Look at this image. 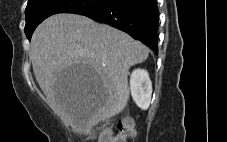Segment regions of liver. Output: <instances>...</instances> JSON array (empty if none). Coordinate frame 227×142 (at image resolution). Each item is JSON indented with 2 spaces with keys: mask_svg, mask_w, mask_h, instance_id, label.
Returning <instances> with one entry per match:
<instances>
[{
  "mask_svg": "<svg viewBox=\"0 0 227 142\" xmlns=\"http://www.w3.org/2000/svg\"><path fill=\"white\" fill-rule=\"evenodd\" d=\"M30 53L34 75L51 108L75 130L85 131L124 110L129 69L144 62L149 49L85 16L56 14L36 28ZM68 61L92 65L99 73V78H92V88H63V81H55L58 68Z\"/></svg>",
  "mask_w": 227,
  "mask_h": 142,
  "instance_id": "1",
  "label": "liver"
}]
</instances>
